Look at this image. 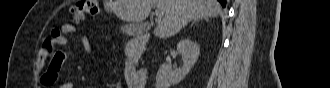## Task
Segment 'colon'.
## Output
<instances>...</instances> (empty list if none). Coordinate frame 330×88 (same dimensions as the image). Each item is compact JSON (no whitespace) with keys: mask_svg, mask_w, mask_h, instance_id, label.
<instances>
[{"mask_svg":"<svg viewBox=\"0 0 330 88\" xmlns=\"http://www.w3.org/2000/svg\"><path fill=\"white\" fill-rule=\"evenodd\" d=\"M97 11H98V7H97V2L96 1H94V0L80 1L77 4H75L74 6H72V8H71V14H72V17H73V22L75 24H79L82 21H84L86 19V17L94 16L97 13ZM60 34H61L60 29H56L52 33V36L47 40H51L52 38H54V37H56ZM47 40H45V41H47ZM46 46L49 48V50H52L53 45H48L46 43ZM52 63H53V66H56L55 57H54Z\"/></svg>","mask_w":330,"mask_h":88,"instance_id":"5ec220e1","label":"colon"}]
</instances>
